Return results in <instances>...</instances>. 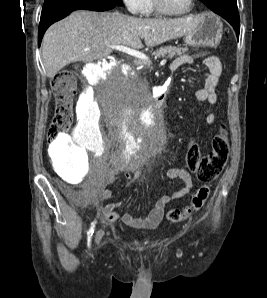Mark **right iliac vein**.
I'll list each match as a JSON object with an SVG mask.
<instances>
[{
	"instance_id": "obj_1",
	"label": "right iliac vein",
	"mask_w": 267,
	"mask_h": 298,
	"mask_svg": "<svg viewBox=\"0 0 267 298\" xmlns=\"http://www.w3.org/2000/svg\"><path fill=\"white\" fill-rule=\"evenodd\" d=\"M103 235H104V231L102 229H99L96 233V236H95V242H96L97 245L100 244Z\"/></svg>"
}]
</instances>
